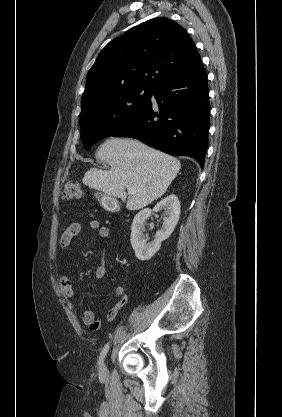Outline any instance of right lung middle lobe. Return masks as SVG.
<instances>
[{
    "mask_svg": "<svg viewBox=\"0 0 282 417\" xmlns=\"http://www.w3.org/2000/svg\"><path fill=\"white\" fill-rule=\"evenodd\" d=\"M155 90L128 88L95 95L82 101L79 115L84 148L111 136L133 119L147 104Z\"/></svg>",
    "mask_w": 282,
    "mask_h": 417,
    "instance_id": "1",
    "label": "right lung middle lobe"
}]
</instances>
